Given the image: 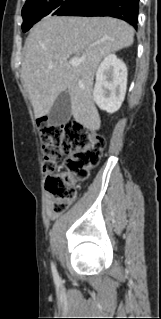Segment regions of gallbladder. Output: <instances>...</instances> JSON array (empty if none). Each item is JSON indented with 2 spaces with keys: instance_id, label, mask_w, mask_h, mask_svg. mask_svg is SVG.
<instances>
[{
  "instance_id": "gallbladder-1",
  "label": "gallbladder",
  "mask_w": 161,
  "mask_h": 319,
  "mask_svg": "<svg viewBox=\"0 0 161 319\" xmlns=\"http://www.w3.org/2000/svg\"><path fill=\"white\" fill-rule=\"evenodd\" d=\"M71 116V99L67 91L60 93L52 105L48 118L54 125L66 123Z\"/></svg>"
}]
</instances>
